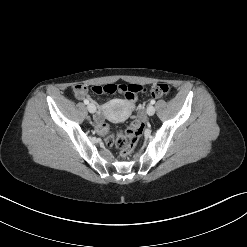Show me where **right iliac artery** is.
Listing matches in <instances>:
<instances>
[{
  "label": "right iliac artery",
  "mask_w": 247,
  "mask_h": 247,
  "mask_svg": "<svg viewBox=\"0 0 247 247\" xmlns=\"http://www.w3.org/2000/svg\"><path fill=\"white\" fill-rule=\"evenodd\" d=\"M84 103H85V104H89V100L85 99V100H84Z\"/></svg>",
  "instance_id": "82829eb1"
}]
</instances>
